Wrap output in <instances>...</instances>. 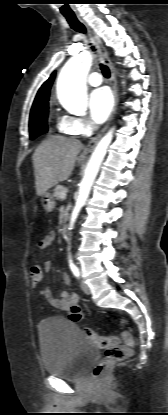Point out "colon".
<instances>
[{"label": "colon", "mask_w": 168, "mask_h": 415, "mask_svg": "<svg viewBox=\"0 0 168 415\" xmlns=\"http://www.w3.org/2000/svg\"><path fill=\"white\" fill-rule=\"evenodd\" d=\"M41 269V261L33 262L29 266L28 276L30 277V289L32 291H37L39 284L44 281ZM119 322L122 326L126 325L124 319H120ZM83 334L90 342L104 350L102 360L92 370L94 379L100 378L107 368L131 355L133 351L134 340L128 331H124L122 334L123 344L118 336H101L90 328H84Z\"/></svg>", "instance_id": "obj_1"}]
</instances>
